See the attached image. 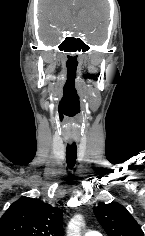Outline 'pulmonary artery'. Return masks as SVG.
I'll return each instance as SVG.
<instances>
[{"label": "pulmonary artery", "instance_id": "1", "mask_svg": "<svg viewBox=\"0 0 145 236\" xmlns=\"http://www.w3.org/2000/svg\"><path fill=\"white\" fill-rule=\"evenodd\" d=\"M84 236H101V234L97 231L89 230L84 234Z\"/></svg>", "mask_w": 145, "mask_h": 236}]
</instances>
